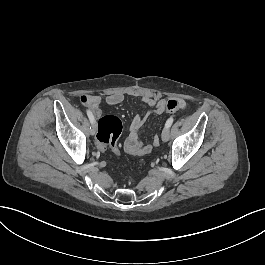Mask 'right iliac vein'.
Wrapping results in <instances>:
<instances>
[{
	"label": "right iliac vein",
	"instance_id": "obj_1",
	"mask_svg": "<svg viewBox=\"0 0 265 265\" xmlns=\"http://www.w3.org/2000/svg\"><path fill=\"white\" fill-rule=\"evenodd\" d=\"M96 132H97V124H96V122H94L90 125V134L95 135Z\"/></svg>",
	"mask_w": 265,
	"mask_h": 265
}]
</instances>
